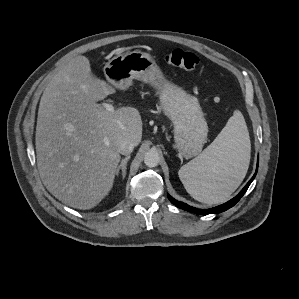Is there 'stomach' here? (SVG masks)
Segmentation results:
<instances>
[{
  "mask_svg": "<svg viewBox=\"0 0 299 299\" xmlns=\"http://www.w3.org/2000/svg\"><path fill=\"white\" fill-rule=\"evenodd\" d=\"M108 82L126 89L133 79L149 83L159 95L160 107L173 124L179 154L186 158L198 155L207 141L208 126L198 99L169 82L153 57L141 51L118 54L104 66Z\"/></svg>",
  "mask_w": 299,
  "mask_h": 299,
  "instance_id": "stomach-1",
  "label": "stomach"
}]
</instances>
